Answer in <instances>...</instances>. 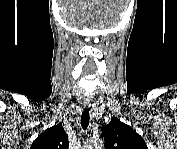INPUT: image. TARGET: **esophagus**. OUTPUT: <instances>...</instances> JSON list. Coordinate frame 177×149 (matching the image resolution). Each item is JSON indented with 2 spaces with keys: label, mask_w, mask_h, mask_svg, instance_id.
Here are the masks:
<instances>
[{
  "label": "esophagus",
  "mask_w": 177,
  "mask_h": 149,
  "mask_svg": "<svg viewBox=\"0 0 177 149\" xmlns=\"http://www.w3.org/2000/svg\"><path fill=\"white\" fill-rule=\"evenodd\" d=\"M85 106H87V107L90 106V102H89V101H88V102L86 101V102H85Z\"/></svg>",
  "instance_id": "obj_1"
}]
</instances>
